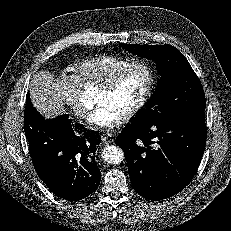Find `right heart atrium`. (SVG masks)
<instances>
[{
    "label": "right heart atrium",
    "instance_id": "right-heart-atrium-1",
    "mask_svg": "<svg viewBox=\"0 0 231 231\" xmlns=\"http://www.w3.org/2000/svg\"><path fill=\"white\" fill-rule=\"evenodd\" d=\"M55 92L59 100L69 106L78 118L87 117L88 109L82 101L81 86L74 75L61 74L56 82Z\"/></svg>",
    "mask_w": 231,
    "mask_h": 231
}]
</instances>
